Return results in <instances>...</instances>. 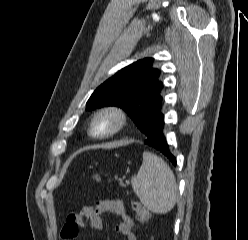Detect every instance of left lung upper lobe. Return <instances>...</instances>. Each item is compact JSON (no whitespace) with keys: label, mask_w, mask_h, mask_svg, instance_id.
Returning a JSON list of instances; mask_svg holds the SVG:
<instances>
[{"label":"left lung upper lobe","mask_w":248,"mask_h":240,"mask_svg":"<svg viewBox=\"0 0 248 240\" xmlns=\"http://www.w3.org/2000/svg\"><path fill=\"white\" fill-rule=\"evenodd\" d=\"M152 62L153 58H145L118 71L93 92L86 110L118 106L145 134L163 104L160 71L152 67Z\"/></svg>","instance_id":"left-lung-upper-lobe-1"}]
</instances>
